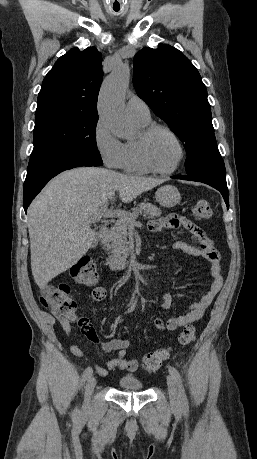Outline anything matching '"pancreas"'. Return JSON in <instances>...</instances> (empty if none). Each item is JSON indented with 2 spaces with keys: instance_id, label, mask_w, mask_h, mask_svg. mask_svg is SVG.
Returning <instances> with one entry per match:
<instances>
[{
  "instance_id": "pancreas-1",
  "label": "pancreas",
  "mask_w": 257,
  "mask_h": 459,
  "mask_svg": "<svg viewBox=\"0 0 257 459\" xmlns=\"http://www.w3.org/2000/svg\"><path fill=\"white\" fill-rule=\"evenodd\" d=\"M127 214L134 217L143 214L145 217L152 219L159 217L161 210L151 203L142 202L133 208L131 212H127ZM128 227L129 224L126 221L118 220L103 236L102 244L105 250L112 256L127 254Z\"/></svg>"
}]
</instances>
